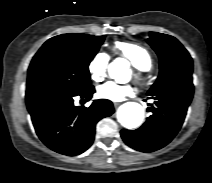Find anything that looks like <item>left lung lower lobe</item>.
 Instances as JSON below:
<instances>
[{
    "label": "left lung lower lobe",
    "mask_w": 212,
    "mask_h": 183,
    "mask_svg": "<svg viewBox=\"0 0 212 183\" xmlns=\"http://www.w3.org/2000/svg\"><path fill=\"white\" fill-rule=\"evenodd\" d=\"M194 93L192 76L170 81L148 95L156 100L148 108L152 115L136 130L121 131L130 147L141 152H152L166 146L180 130Z\"/></svg>",
    "instance_id": "left-lung-lower-lobe-1"
}]
</instances>
